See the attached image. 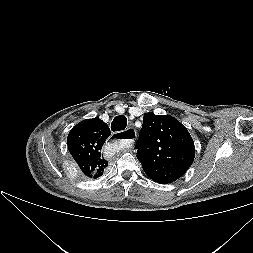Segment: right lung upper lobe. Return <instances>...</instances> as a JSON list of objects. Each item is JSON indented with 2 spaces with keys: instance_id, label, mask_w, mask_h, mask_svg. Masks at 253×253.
<instances>
[{
  "instance_id": "right-lung-upper-lobe-1",
  "label": "right lung upper lobe",
  "mask_w": 253,
  "mask_h": 253,
  "mask_svg": "<svg viewBox=\"0 0 253 253\" xmlns=\"http://www.w3.org/2000/svg\"><path fill=\"white\" fill-rule=\"evenodd\" d=\"M110 135L109 127L98 117L81 121L69 132L68 149L86 176L96 179L108 166L101 149Z\"/></svg>"
}]
</instances>
